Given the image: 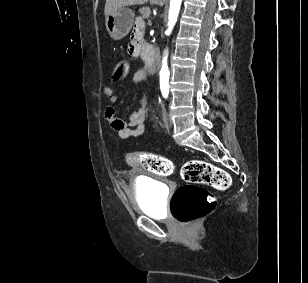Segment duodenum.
<instances>
[{
    "instance_id": "obj_1",
    "label": "duodenum",
    "mask_w": 308,
    "mask_h": 283,
    "mask_svg": "<svg viewBox=\"0 0 308 283\" xmlns=\"http://www.w3.org/2000/svg\"><path fill=\"white\" fill-rule=\"evenodd\" d=\"M157 58V50L156 48H153L152 44H145L144 45V51H143V62H149L150 66L154 64L155 60Z\"/></svg>"
}]
</instances>
